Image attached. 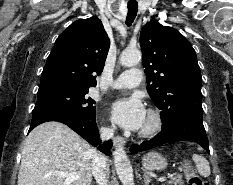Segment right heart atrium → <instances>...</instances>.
Here are the masks:
<instances>
[{"label":"right heart atrium","mask_w":233,"mask_h":185,"mask_svg":"<svg viewBox=\"0 0 233 185\" xmlns=\"http://www.w3.org/2000/svg\"><path fill=\"white\" fill-rule=\"evenodd\" d=\"M103 131L106 133H111L112 132V127H104Z\"/></svg>","instance_id":"d8ad5b80"}]
</instances>
